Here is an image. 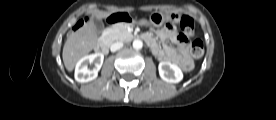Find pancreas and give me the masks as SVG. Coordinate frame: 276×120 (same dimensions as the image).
Masks as SVG:
<instances>
[{"label":"pancreas","instance_id":"1","mask_svg":"<svg viewBox=\"0 0 276 120\" xmlns=\"http://www.w3.org/2000/svg\"><path fill=\"white\" fill-rule=\"evenodd\" d=\"M130 36L127 26L124 24H116L105 31V39L108 42L124 41Z\"/></svg>","mask_w":276,"mask_h":120}]
</instances>
